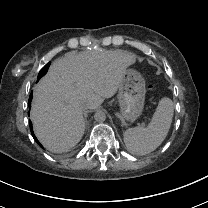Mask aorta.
Returning a JSON list of instances; mask_svg holds the SVG:
<instances>
[{"label":"aorta","instance_id":"obj_1","mask_svg":"<svg viewBox=\"0 0 208 208\" xmlns=\"http://www.w3.org/2000/svg\"><path fill=\"white\" fill-rule=\"evenodd\" d=\"M94 119L99 123H103L106 120V114L102 111H97L94 115Z\"/></svg>","mask_w":208,"mask_h":208}]
</instances>
